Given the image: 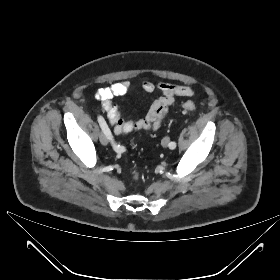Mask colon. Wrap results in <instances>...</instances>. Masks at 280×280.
<instances>
[{"label": "colon", "instance_id": "5ec220e1", "mask_svg": "<svg viewBox=\"0 0 280 280\" xmlns=\"http://www.w3.org/2000/svg\"><path fill=\"white\" fill-rule=\"evenodd\" d=\"M183 108L187 111H193V110H195L196 106H195L194 102L186 101V102L183 103Z\"/></svg>", "mask_w": 280, "mask_h": 280}]
</instances>
